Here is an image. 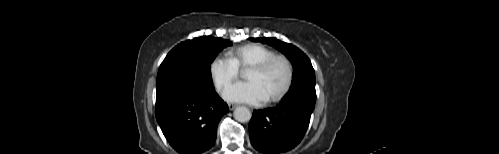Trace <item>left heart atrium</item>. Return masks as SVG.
<instances>
[{
    "label": "left heart atrium",
    "instance_id": "obj_1",
    "mask_svg": "<svg viewBox=\"0 0 499 154\" xmlns=\"http://www.w3.org/2000/svg\"><path fill=\"white\" fill-rule=\"evenodd\" d=\"M223 97L227 101L260 104L267 98L260 86L253 81L237 82L226 88Z\"/></svg>",
    "mask_w": 499,
    "mask_h": 154
}]
</instances>
